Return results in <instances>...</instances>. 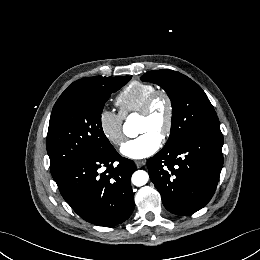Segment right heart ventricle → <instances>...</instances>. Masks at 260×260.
<instances>
[{
  "mask_svg": "<svg viewBox=\"0 0 260 260\" xmlns=\"http://www.w3.org/2000/svg\"><path fill=\"white\" fill-rule=\"evenodd\" d=\"M154 90L156 87L150 83L133 81L128 84L116 98L120 115L125 118L131 113L138 112L145 98Z\"/></svg>",
  "mask_w": 260,
  "mask_h": 260,
  "instance_id": "1",
  "label": "right heart ventricle"
}]
</instances>
